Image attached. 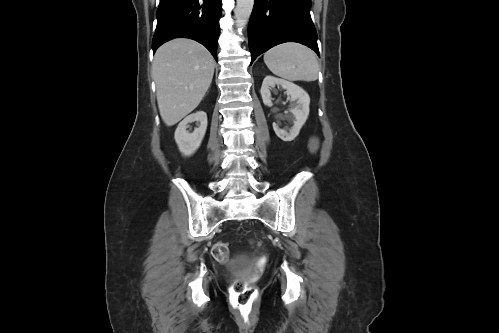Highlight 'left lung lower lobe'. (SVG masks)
Instances as JSON below:
<instances>
[{"instance_id": "left-lung-lower-lobe-1", "label": "left lung lower lobe", "mask_w": 499, "mask_h": 333, "mask_svg": "<svg viewBox=\"0 0 499 333\" xmlns=\"http://www.w3.org/2000/svg\"><path fill=\"white\" fill-rule=\"evenodd\" d=\"M310 8L311 0H255L248 25L251 64L260 54L285 42L306 45L319 56Z\"/></svg>"}]
</instances>
